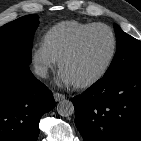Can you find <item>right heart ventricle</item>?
<instances>
[{"mask_svg":"<svg viewBox=\"0 0 141 141\" xmlns=\"http://www.w3.org/2000/svg\"><path fill=\"white\" fill-rule=\"evenodd\" d=\"M96 23L65 20L45 31L41 38L42 47L57 61L74 39L86 28Z\"/></svg>","mask_w":141,"mask_h":141,"instance_id":"e07e8e85","label":"right heart ventricle"}]
</instances>
